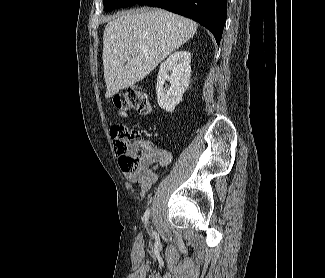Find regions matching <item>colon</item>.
<instances>
[{"mask_svg": "<svg viewBox=\"0 0 325 278\" xmlns=\"http://www.w3.org/2000/svg\"><path fill=\"white\" fill-rule=\"evenodd\" d=\"M115 107L125 114L136 111L147 115L151 112V104L147 95L138 87H132L117 93L113 98ZM114 151L119 156V163L126 171H136L148 156V144L141 138V130L123 124L111 127Z\"/></svg>", "mask_w": 325, "mask_h": 278, "instance_id": "5ec220e1", "label": "colon"}]
</instances>
